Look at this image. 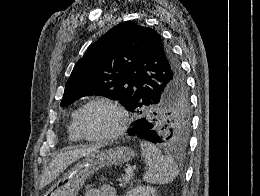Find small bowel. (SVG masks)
<instances>
[{
  "label": "small bowel",
  "instance_id": "obj_1",
  "mask_svg": "<svg viewBox=\"0 0 260 196\" xmlns=\"http://www.w3.org/2000/svg\"><path fill=\"white\" fill-rule=\"evenodd\" d=\"M85 196H116V192L110 185H102L101 187H92L87 190Z\"/></svg>",
  "mask_w": 260,
  "mask_h": 196
}]
</instances>
